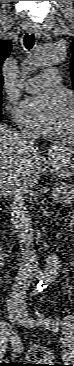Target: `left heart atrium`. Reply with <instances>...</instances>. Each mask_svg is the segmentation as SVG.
I'll use <instances>...</instances> for the list:
<instances>
[{
  "instance_id": "left-heart-atrium-1",
  "label": "left heart atrium",
  "mask_w": 74,
  "mask_h": 366,
  "mask_svg": "<svg viewBox=\"0 0 74 366\" xmlns=\"http://www.w3.org/2000/svg\"><path fill=\"white\" fill-rule=\"evenodd\" d=\"M65 102L58 92L27 98L19 106V120L42 132L55 131L63 116Z\"/></svg>"
}]
</instances>
